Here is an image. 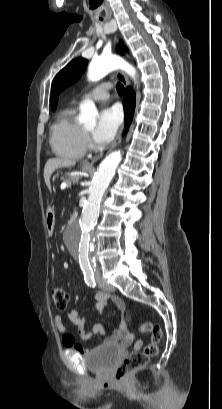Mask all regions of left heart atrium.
<instances>
[{
    "label": "left heart atrium",
    "instance_id": "left-heart-atrium-1",
    "mask_svg": "<svg viewBox=\"0 0 222 409\" xmlns=\"http://www.w3.org/2000/svg\"><path fill=\"white\" fill-rule=\"evenodd\" d=\"M120 110L113 106L102 110L97 126L93 131V139L99 145L110 142L115 136L121 123Z\"/></svg>",
    "mask_w": 222,
    "mask_h": 409
}]
</instances>
